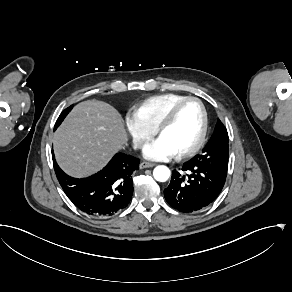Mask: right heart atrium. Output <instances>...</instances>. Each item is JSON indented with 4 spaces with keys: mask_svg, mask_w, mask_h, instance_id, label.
<instances>
[{
    "mask_svg": "<svg viewBox=\"0 0 292 292\" xmlns=\"http://www.w3.org/2000/svg\"><path fill=\"white\" fill-rule=\"evenodd\" d=\"M123 118L124 126L131 136L133 144L142 147L149 140L153 129L144 125L132 112H127Z\"/></svg>",
    "mask_w": 292,
    "mask_h": 292,
    "instance_id": "d8ad5b80",
    "label": "right heart atrium"
}]
</instances>
